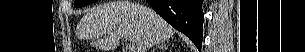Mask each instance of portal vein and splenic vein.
I'll use <instances>...</instances> for the list:
<instances>
[{
	"instance_id": "portal-vein-and-splenic-vein-1",
	"label": "portal vein and splenic vein",
	"mask_w": 305,
	"mask_h": 52,
	"mask_svg": "<svg viewBox=\"0 0 305 52\" xmlns=\"http://www.w3.org/2000/svg\"><path fill=\"white\" fill-rule=\"evenodd\" d=\"M127 49L129 50V52H134L135 50V43L134 42H130V44H127Z\"/></svg>"
}]
</instances>
